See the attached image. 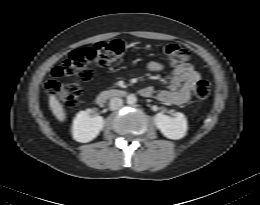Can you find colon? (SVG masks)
Listing matches in <instances>:
<instances>
[{
	"label": "colon",
	"instance_id": "1",
	"mask_svg": "<svg viewBox=\"0 0 260 205\" xmlns=\"http://www.w3.org/2000/svg\"><path fill=\"white\" fill-rule=\"evenodd\" d=\"M164 53L172 64L178 65L189 57L188 50L178 44H168ZM124 54V46L118 40L99 42L91 46L76 49L68 59L57 66L52 78L46 85L47 92L70 106L78 103L82 93L80 83L92 78V66H109L117 63ZM71 78L72 81L67 80ZM194 94L200 100L210 95V84L200 79L194 86Z\"/></svg>",
	"mask_w": 260,
	"mask_h": 205
}]
</instances>
